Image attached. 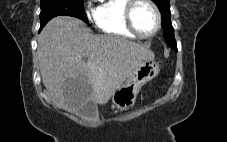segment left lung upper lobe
<instances>
[{"label": "left lung upper lobe", "mask_w": 227, "mask_h": 142, "mask_svg": "<svg viewBox=\"0 0 227 142\" xmlns=\"http://www.w3.org/2000/svg\"><path fill=\"white\" fill-rule=\"evenodd\" d=\"M161 12L162 23H163V37L166 43L171 48L177 50L176 41L174 38V28L171 23L170 13V0H153Z\"/></svg>", "instance_id": "1"}]
</instances>
